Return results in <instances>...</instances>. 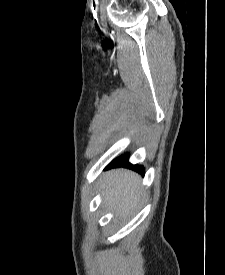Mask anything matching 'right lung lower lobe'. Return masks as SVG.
Wrapping results in <instances>:
<instances>
[{
  "mask_svg": "<svg viewBox=\"0 0 225 275\" xmlns=\"http://www.w3.org/2000/svg\"><path fill=\"white\" fill-rule=\"evenodd\" d=\"M118 166H128L133 168L134 170L140 172V173H144V168L142 166H138V165H131L128 162V155H123L121 157H119L118 159L112 161L107 168H111V167H118Z\"/></svg>",
  "mask_w": 225,
  "mask_h": 275,
  "instance_id": "98d812e1",
  "label": "right lung lower lobe"
}]
</instances>
